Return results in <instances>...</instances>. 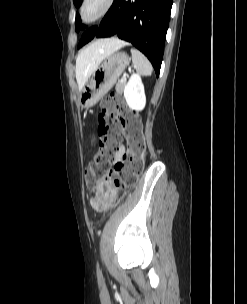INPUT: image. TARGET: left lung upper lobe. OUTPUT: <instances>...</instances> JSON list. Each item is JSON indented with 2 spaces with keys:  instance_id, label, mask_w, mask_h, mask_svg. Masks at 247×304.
<instances>
[{
  "instance_id": "1",
  "label": "left lung upper lobe",
  "mask_w": 247,
  "mask_h": 304,
  "mask_svg": "<svg viewBox=\"0 0 247 304\" xmlns=\"http://www.w3.org/2000/svg\"><path fill=\"white\" fill-rule=\"evenodd\" d=\"M73 2H74L76 7H79L81 5L82 0H73ZM75 25H76V31H79L80 29L85 28L84 25H81V19H80L79 14H76Z\"/></svg>"
}]
</instances>
